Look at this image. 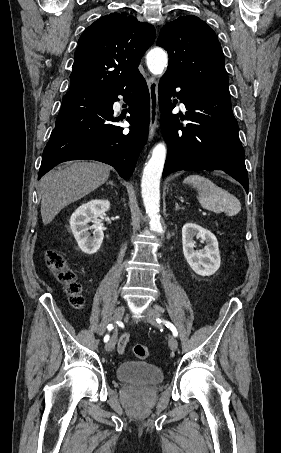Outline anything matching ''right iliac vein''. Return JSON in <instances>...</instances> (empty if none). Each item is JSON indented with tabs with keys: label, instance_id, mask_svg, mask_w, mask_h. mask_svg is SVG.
Returning a JSON list of instances; mask_svg holds the SVG:
<instances>
[{
	"label": "right iliac vein",
	"instance_id": "right-iliac-vein-1",
	"mask_svg": "<svg viewBox=\"0 0 281 453\" xmlns=\"http://www.w3.org/2000/svg\"><path fill=\"white\" fill-rule=\"evenodd\" d=\"M124 313V308L121 306L120 308H115V315H114V320L115 321H120L121 320V316L122 314ZM116 338L115 337H112V339H110V341L107 342L106 344V347H105V350L106 352H111V350H114L115 346H116Z\"/></svg>",
	"mask_w": 281,
	"mask_h": 453
}]
</instances>
